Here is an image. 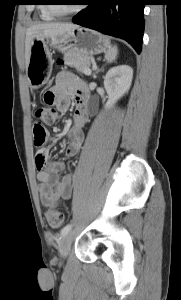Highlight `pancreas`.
Masks as SVG:
<instances>
[{
  "instance_id": "pancreas-1",
  "label": "pancreas",
  "mask_w": 181,
  "mask_h": 300,
  "mask_svg": "<svg viewBox=\"0 0 181 300\" xmlns=\"http://www.w3.org/2000/svg\"><path fill=\"white\" fill-rule=\"evenodd\" d=\"M64 62L66 65L74 67L81 73H84V70L90 66L89 57H86L82 53L73 50L67 51L64 54Z\"/></svg>"
}]
</instances>
